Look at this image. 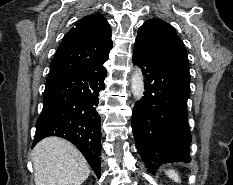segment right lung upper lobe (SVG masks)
Masks as SVG:
<instances>
[{
  "label": "right lung upper lobe",
  "instance_id": "obj_1",
  "mask_svg": "<svg viewBox=\"0 0 233 185\" xmlns=\"http://www.w3.org/2000/svg\"><path fill=\"white\" fill-rule=\"evenodd\" d=\"M113 47L111 27L100 14L83 17L64 36L51 63L50 74L101 67Z\"/></svg>",
  "mask_w": 233,
  "mask_h": 185
}]
</instances>
